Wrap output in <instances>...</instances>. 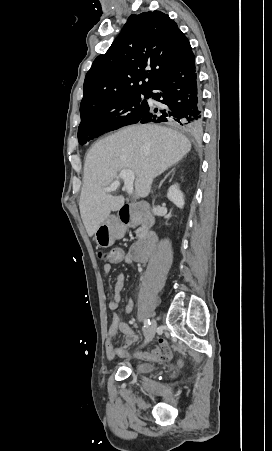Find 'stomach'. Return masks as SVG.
Returning a JSON list of instances; mask_svg holds the SVG:
<instances>
[{
	"label": "stomach",
	"instance_id": "obj_1",
	"mask_svg": "<svg viewBox=\"0 0 272 451\" xmlns=\"http://www.w3.org/2000/svg\"><path fill=\"white\" fill-rule=\"evenodd\" d=\"M94 239H96L98 245H101V247H110L115 241L111 227L108 224H101L96 229Z\"/></svg>",
	"mask_w": 272,
	"mask_h": 451
}]
</instances>
